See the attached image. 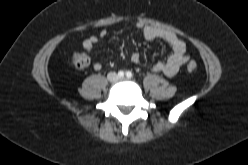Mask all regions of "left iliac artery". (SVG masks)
<instances>
[{
	"instance_id": "1",
	"label": "left iliac artery",
	"mask_w": 248,
	"mask_h": 165,
	"mask_svg": "<svg viewBox=\"0 0 248 165\" xmlns=\"http://www.w3.org/2000/svg\"><path fill=\"white\" fill-rule=\"evenodd\" d=\"M126 76H127L128 78H132V77H133V74H132V72L127 71V72H126Z\"/></svg>"
}]
</instances>
